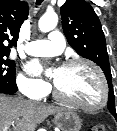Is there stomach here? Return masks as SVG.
Listing matches in <instances>:
<instances>
[{
	"mask_svg": "<svg viewBox=\"0 0 117 131\" xmlns=\"http://www.w3.org/2000/svg\"><path fill=\"white\" fill-rule=\"evenodd\" d=\"M54 124L60 131H79L82 126L80 117L71 110L56 113Z\"/></svg>",
	"mask_w": 117,
	"mask_h": 131,
	"instance_id": "obj_1",
	"label": "stomach"
}]
</instances>
